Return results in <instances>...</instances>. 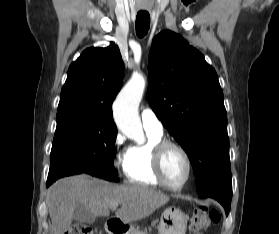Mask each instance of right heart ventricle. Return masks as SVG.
I'll return each mask as SVG.
<instances>
[{
    "label": "right heart ventricle",
    "mask_w": 279,
    "mask_h": 234,
    "mask_svg": "<svg viewBox=\"0 0 279 234\" xmlns=\"http://www.w3.org/2000/svg\"><path fill=\"white\" fill-rule=\"evenodd\" d=\"M147 132L148 141L143 145L131 146L123 156L122 169L131 183L142 186H159L153 170V147L162 140V134Z\"/></svg>",
    "instance_id": "1"
}]
</instances>
